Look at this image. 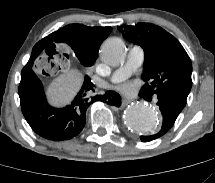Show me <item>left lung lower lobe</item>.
<instances>
[{
	"instance_id": "obj_1",
	"label": "left lung lower lobe",
	"mask_w": 215,
	"mask_h": 183,
	"mask_svg": "<svg viewBox=\"0 0 215 183\" xmlns=\"http://www.w3.org/2000/svg\"><path fill=\"white\" fill-rule=\"evenodd\" d=\"M140 95L144 94L140 92ZM145 97L151 99L149 95H145ZM157 105L163 116L162 128L155 135L141 136L143 142H148L164 135L174 125L176 118L184 108L176 100L164 95H157Z\"/></svg>"
}]
</instances>
